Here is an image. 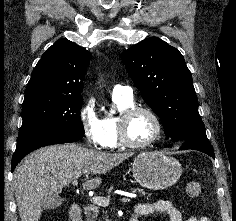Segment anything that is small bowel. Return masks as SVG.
Instances as JSON below:
<instances>
[{"label":"small bowel","instance_id":"c3829d8e","mask_svg":"<svg viewBox=\"0 0 236 221\" xmlns=\"http://www.w3.org/2000/svg\"><path fill=\"white\" fill-rule=\"evenodd\" d=\"M155 213L166 214L170 221H209L206 216H190L184 219L182 213L168 200L141 202L134 207V215L138 218Z\"/></svg>","mask_w":236,"mask_h":221}]
</instances>
